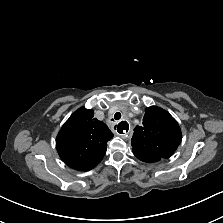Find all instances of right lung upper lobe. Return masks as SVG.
Returning <instances> with one entry per match:
<instances>
[{"mask_svg": "<svg viewBox=\"0 0 223 223\" xmlns=\"http://www.w3.org/2000/svg\"><path fill=\"white\" fill-rule=\"evenodd\" d=\"M92 109L79 108L65 122L56 138L59 156L69 167L88 171L97 166L106 153L113 133L93 117Z\"/></svg>", "mask_w": 223, "mask_h": 223, "instance_id": "obj_1", "label": "right lung upper lobe"}]
</instances>
